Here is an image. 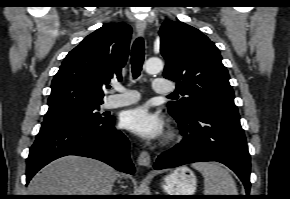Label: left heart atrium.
Wrapping results in <instances>:
<instances>
[{"label":"left heart atrium","instance_id":"obj_1","mask_svg":"<svg viewBox=\"0 0 290 199\" xmlns=\"http://www.w3.org/2000/svg\"><path fill=\"white\" fill-rule=\"evenodd\" d=\"M121 125L146 140L157 139L164 131V120L157 112L142 105L125 111L121 117Z\"/></svg>","mask_w":290,"mask_h":199}]
</instances>
